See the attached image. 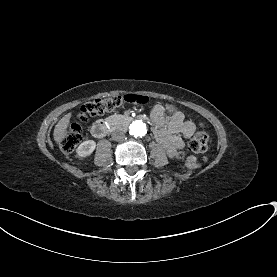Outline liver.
<instances>
[{
	"label": "liver",
	"mask_w": 277,
	"mask_h": 277,
	"mask_svg": "<svg viewBox=\"0 0 277 277\" xmlns=\"http://www.w3.org/2000/svg\"><path fill=\"white\" fill-rule=\"evenodd\" d=\"M71 118V113L66 114L64 117H62L59 122L56 124L55 129H54V140L57 143L62 142L66 135V129L69 125Z\"/></svg>",
	"instance_id": "obj_1"
}]
</instances>
